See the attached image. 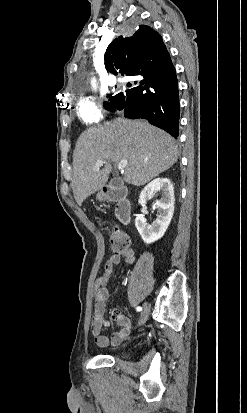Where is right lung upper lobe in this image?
Returning a JSON list of instances; mask_svg holds the SVG:
<instances>
[{"instance_id": "obj_1", "label": "right lung upper lobe", "mask_w": 247, "mask_h": 413, "mask_svg": "<svg viewBox=\"0 0 247 413\" xmlns=\"http://www.w3.org/2000/svg\"><path fill=\"white\" fill-rule=\"evenodd\" d=\"M131 37L114 39L105 53V68L126 76L150 73L166 62L170 55L161 35L146 25H139Z\"/></svg>"}]
</instances>
